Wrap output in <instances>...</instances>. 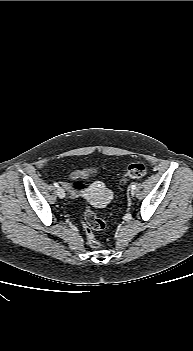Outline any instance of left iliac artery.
I'll use <instances>...</instances> for the list:
<instances>
[{"label":"left iliac artery","instance_id":"obj_1","mask_svg":"<svg viewBox=\"0 0 193 351\" xmlns=\"http://www.w3.org/2000/svg\"><path fill=\"white\" fill-rule=\"evenodd\" d=\"M131 188H132L133 190H135V189H136V184L133 183L132 186H131Z\"/></svg>","mask_w":193,"mask_h":351}]
</instances>
